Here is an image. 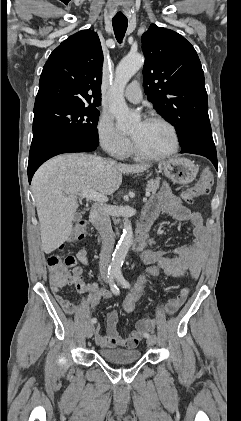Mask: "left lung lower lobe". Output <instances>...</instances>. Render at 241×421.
<instances>
[{
  "label": "left lung lower lobe",
  "mask_w": 241,
  "mask_h": 421,
  "mask_svg": "<svg viewBox=\"0 0 241 421\" xmlns=\"http://www.w3.org/2000/svg\"><path fill=\"white\" fill-rule=\"evenodd\" d=\"M181 153L198 154L208 158L218 170L217 153L212 134H205L192 144L182 148Z\"/></svg>",
  "instance_id": "1"
}]
</instances>
